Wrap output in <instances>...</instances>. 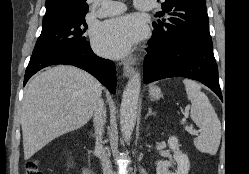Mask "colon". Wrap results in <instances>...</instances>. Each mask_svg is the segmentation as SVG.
I'll return each instance as SVG.
<instances>
[{"mask_svg":"<svg viewBox=\"0 0 249 174\" xmlns=\"http://www.w3.org/2000/svg\"><path fill=\"white\" fill-rule=\"evenodd\" d=\"M24 174H43L39 162L36 159L28 161L24 168Z\"/></svg>","mask_w":249,"mask_h":174,"instance_id":"colon-1","label":"colon"}]
</instances>
